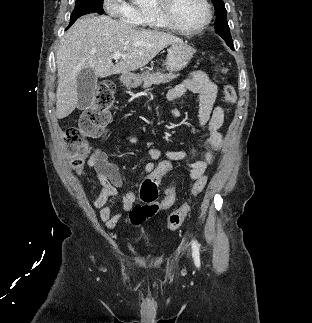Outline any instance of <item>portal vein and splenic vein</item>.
<instances>
[{
  "instance_id": "1",
  "label": "portal vein and splenic vein",
  "mask_w": 312,
  "mask_h": 323,
  "mask_svg": "<svg viewBox=\"0 0 312 323\" xmlns=\"http://www.w3.org/2000/svg\"><path fill=\"white\" fill-rule=\"evenodd\" d=\"M112 58L117 62L119 58H129V54H120V52H114V54H112Z\"/></svg>"
}]
</instances>
